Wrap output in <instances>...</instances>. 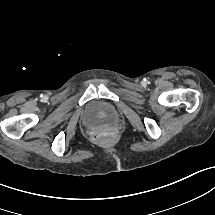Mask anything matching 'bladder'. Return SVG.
Instances as JSON below:
<instances>
[{"label":"bladder","mask_w":215,"mask_h":215,"mask_svg":"<svg viewBox=\"0 0 215 215\" xmlns=\"http://www.w3.org/2000/svg\"><path fill=\"white\" fill-rule=\"evenodd\" d=\"M119 116V111L112 102L96 100L86 106L81 119L89 128H105L114 126Z\"/></svg>","instance_id":"bladder-1"}]
</instances>
